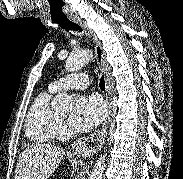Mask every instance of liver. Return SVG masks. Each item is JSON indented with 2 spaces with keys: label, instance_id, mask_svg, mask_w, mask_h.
<instances>
[{
  "label": "liver",
  "instance_id": "liver-1",
  "mask_svg": "<svg viewBox=\"0 0 183 179\" xmlns=\"http://www.w3.org/2000/svg\"><path fill=\"white\" fill-rule=\"evenodd\" d=\"M64 155L65 151L59 146H28L17 162L14 179H48Z\"/></svg>",
  "mask_w": 183,
  "mask_h": 179
}]
</instances>
